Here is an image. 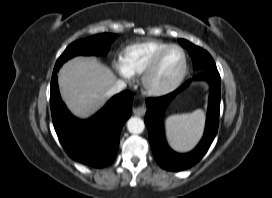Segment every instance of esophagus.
Wrapping results in <instances>:
<instances>
[{"label":"esophagus","instance_id":"esophagus-1","mask_svg":"<svg viewBox=\"0 0 272 198\" xmlns=\"http://www.w3.org/2000/svg\"><path fill=\"white\" fill-rule=\"evenodd\" d=\"M133 113L136 116H144L146 113V108L144 106L135 107L133 108Z\"/></svg>","mask_w":272,"mask_h":198}]
</instances>
